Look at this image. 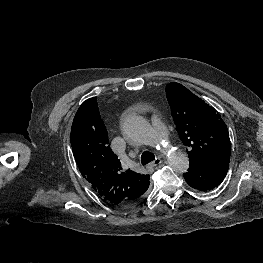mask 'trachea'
I'll return each mask as SVG.
<instances>
[{"label":"trachea","instance_id":"3493384b","mask_svg":"<svg viewBox=\"0 0 263 263\" xmlns=\"http://www.w3.org/2000/svg\"><path fill=\"white\" fill-rule=\"evenodd\" d=\"M154 159H155L154 154L148 151L143 152V154L141 155L142 165H146L149 162L153 161Z\"/></svg>","mask_w":263,"mask_h":263}]
</instances>
